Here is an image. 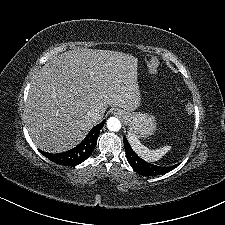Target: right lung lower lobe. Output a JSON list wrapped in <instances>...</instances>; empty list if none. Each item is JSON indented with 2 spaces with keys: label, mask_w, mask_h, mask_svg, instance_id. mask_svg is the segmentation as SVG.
Instances as JSON below:
<instances>
[{
  "label": "right lung lower lobe",
  "mask_w": 225,
  "mask_h": 225,
  "mask_svg": "<svg viewBox=\"0 0 225 225\" xmlns=\"http://www.w3.org/2000/svg\"><path fill=\"white\" fill-rule=\"evenodd\" d=\"M104 123L105 120L102 121L100 124L96 125L95 127H93L91 131L88 133V135L85 137V139L79 145H77L76 147H74L69 151L56 154L47 153L41 150L40 152L49 160L57 164L67 166L78 165L84 162L92 154L96 146L100 130L102 129Z\"/></svg>",
  "instance_id": "1"
}]
</instances>
